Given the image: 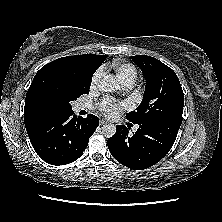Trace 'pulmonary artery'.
I'll use <instances>...</instances> for the list:
<instances>
[{"instance_id": "e3ab8cb5", "label": "pulmonary artery", "mask_w": 222, "mask_h": 222, "mask_svg": "<svg viewBox=\"0 0 222 222\" xmlns=\"http://www.w3.org/2000/svg\"><path fill=\"white\" fill-rule=\"evenodd\" d=\"M131 86H132V84H129V83L123 85L124 89H129V88H131ZM89 107L90 106L88 104H80L78 106V109L83 110V109H88ZM135 130H137V127H135Z\"/></svg>"}]
</instances>
